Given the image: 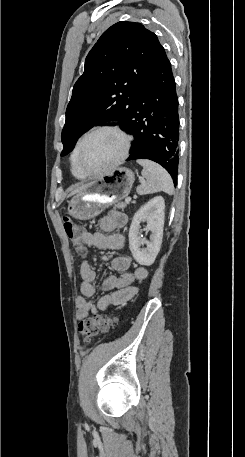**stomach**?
Instances as JSON below:
<instances>
[{"label":"stomach","mask_w":245,"mask_h":457,"mask_svg":"<svg viewBox=\"0 0 245 457\" xmlns=\"http://www.w3.org/2000/svg\"><path fill=\"white\" fill-rule=\"evenodd\" d=\"M135 174L131 168L118 166L101 178L90 182L81 192L72 196L68 204V214L80 220L98 216L106 206L119 202L129 194Z\"/></svg>","instance_id":"stomach-1"}]
</instances>
